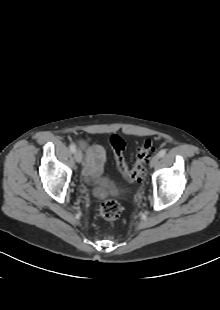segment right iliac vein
Returning <instances> with one entry per match:
<instances>
[{
  "label": "right iliac vein",
  "instance_id": "63e3f726",
  "mask_svg": "<svg viewBox=\"0 0 220 310\" xmlns=\"http://www.w3.org/2000/svg\"><path fill=\"white\" fill-rule=\"evenodd\" d=\"M74 158H75L77 163H81L82 162L83 156H82V153H81L80 150H76L74 152Z\"/></svg>",
  "mask_w": 220,
  "mask_h": 310
}]
</instances>
